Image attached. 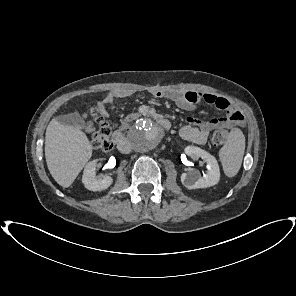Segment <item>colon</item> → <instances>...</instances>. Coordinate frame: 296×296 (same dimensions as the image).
Wrapping results in <instances>:
<instances>
[{
    "label": "colon",
    "mask_w": 296,
    "mask_h": 296,
    "mask_svg": "<svg viewBox=\"0 0 296 296\" xmlns=\"http://www.w3.org/2000/svg\"><path fill=\"white\" fill-rule=\"evenodd\" d=\"M85 116L90 119V126L93 127V147L103 152L111 150L113 146L111 141V128L105 121L104 116L94 110H90ZM228 135L229 133L225 129L215 131L212 136L213 144L221 145L225 143Z\"/></svg>",
    "instance_id": "colon-1"
}]
</instances>
